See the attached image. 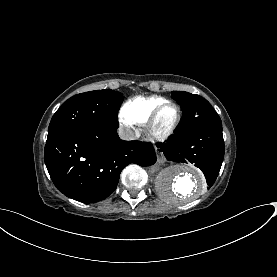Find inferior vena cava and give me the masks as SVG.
Segmentation results:
<instances>
[{"mask_svg":"<svg viewBox=\"0 0 277 277\" xmlns=\"http://www.w3.org/2000/svg\"><path fill=\"white\" fill-rule=\"evenodd\" d=\"M119 138L122 140H134L136 139L135 133L130 128H125L123 126L118 129Z\"/></svg>","mask_w":277,"mask_h":277,"instance_id":"602c4592","label":"inferior vena cava"}]
</instances>
